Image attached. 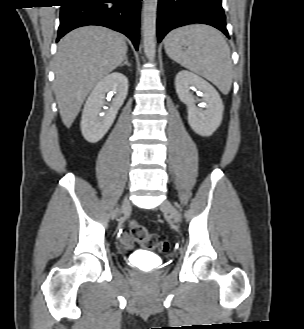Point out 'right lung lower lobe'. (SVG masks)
<instances>
[{
  "label": "right lung lower lobe",
  "instance_id": "1",
  "mask_svg": "<svg viewBox=\"0 0 304 329\" xmlns=\"http://www.w3.org/2000/svg\"><path fill=\"white\" fill-rule=\"evenodd\" d=\"M142 0H62L57 41L69 31L100 25L125 34L136 50Z\"/></svg>",
  "mask_w": 304,
  "mask_h": 329
}]
</instances>
